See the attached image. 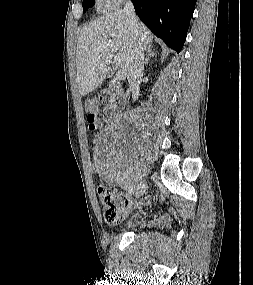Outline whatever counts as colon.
I'll return each mask as SVG.
<instances>
[{
    "instance_id": "5ec220e1",
    "label": "colon",
    "mask_w": 253,
    "mask_h": 285,
    "mask_svg": "<svg viewBox=\"0 0 253 285\" xmlns=\"http://www.w3.org/2000/svg\"><path fill=\"white\" fill-rule=\"evenodd\" d=\"M87 122L90 129H95L99 123L98 104L95 101L87 103ZM105 218L110 223H116L130 208L132 201L126 194L111 190L99 183L96 187Z\"/></svg>"
}]
</instances>
